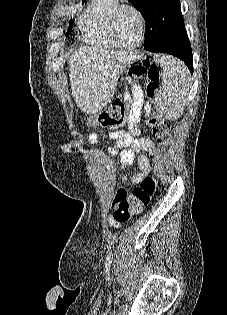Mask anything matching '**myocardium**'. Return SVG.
Instances as JSON below:
<instances>
[{"instance_id":"1","label":"myocardium","mask_w":227,"mask_h":315,"mask_svg":"<svg viewBox=\"0 0 227 315\" xmlns=\"http://www.w3.org/2000/svg\"><path fill=\"white\" fill-rule=\"evenodd\" d=\"M124 10H131L133 11L137 17L139 18L140 21V32H139V39L138 41L133 44V45H123L121 43L118 42L116 36H115V24L116 21L119 17V15L122 13V11ZM145 32H146V18L144 16V14L142 13V11L132 5V4H127V3H123V4H119L118 6L115 7V9L112 11L109 21H108V36L110 41L113 43L114 46L121 48V49H125V50H134L136 48H138L144 41L145 38Z\"/></svg>"}]
</instances>
